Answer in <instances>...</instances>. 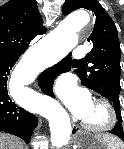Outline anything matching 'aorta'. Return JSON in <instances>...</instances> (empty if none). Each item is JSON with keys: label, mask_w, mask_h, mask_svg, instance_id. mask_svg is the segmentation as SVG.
Wrapping results in <instances>:
<instances>
[{"label": "aorta", "mask_w": 124, "mask_h": 149, "mask_svg": "<svg viewBox=\"0 0 124 149\" xmlns=\"http://www.w3.org/2000/svg\"><path fill=\"white\" fill-rule=\"evenodd\" d=\"M89 23L90 16L84 10L68 15L26 55L15 70L13 79L18 80L20 84H24L27 74L33 72L37 60L47 50L57 52L61 56L68 54L77 45V33ZM43 115L49 120L52 146L60 149L68 144L71 124L64 108L54 99L47 98Z\"/></svg>", "instance_id": "obj_1"}]
</instances>
